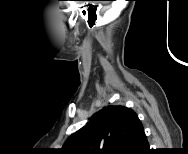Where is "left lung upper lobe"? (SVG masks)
<instances>
[{"mask_svg": "<svg viewBox=\"0 0 188 154\" xmlns=\"http://www.w3.org/2000/svg\"><path fill=\"white\" fill-rule=\"evenodd\" d=\"M135 112L125 106H106L73 133L62 146L67 154H120L128 140Z\"/></svg>", "mask_w": 188, "mask_h": 154, "instance_id": "5c2ea615", "label": "left lung upper lobe"}]
</instances>
